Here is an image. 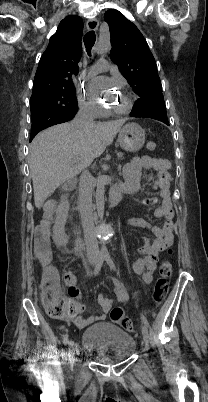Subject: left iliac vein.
I'll return each mask as SVG.
<instances>
[{
    "label": "left iliac vein",
    "instance_id": "obj_1",
    "mask_svg": "<svg viewBox=\"0 0 208 402\" xmlns=\"http://www.w3.org/2000/svg\"><path fill=\"white\" fill-rule=\"evenodd\" d=\"M142 335H143V339H144L146 346H148L149 345V332H148V328L145 324L142 325Z\"/></svg>",
    "mask_w": 208,
    "mask_h": 402
}]
</instances>
